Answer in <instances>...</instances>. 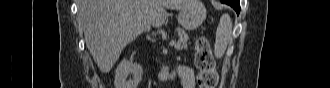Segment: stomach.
I'll return each mask as SVG.
<instances>
[{
  "instance_id": "stomach-1",
  "label": "stomach",
  "mask_w": 330,
  "mask_h": 88,
  "mask_svg": "<svg viewBox=\"0 0 330 88\" xmlns=\"http://www.w3.org/2000/svg\"><path fill=\"white\" fill-rule=\"evenodd\" d=\"M178 23L186 30H195L206 19V9L200 0H190L187 7L180 10Z\"/></svg>"
}]
</instances>
